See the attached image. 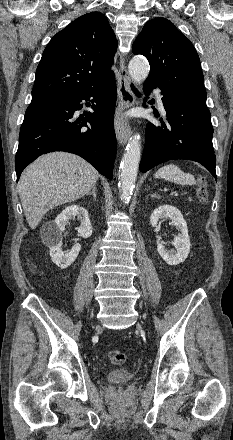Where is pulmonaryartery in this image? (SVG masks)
<instances>
[{
    "label": "pulmonary artery",
    "instance_id": "pulmonary-artery-1",
    "mask_svg": "<svg viewBox=\"0 0 233 440\" xmlns=\"http://www.w3.org/2000/svg\"><path fill=\"white\" fill-rule=\"evenodd\" d=\"M154 93L156 94L160 108L163 110L164 108H163V102H162V94L157 89L154 90Z\"/></svg>",
    "mask_w": 233,
    "mask_h": 440
}]
</instances>
